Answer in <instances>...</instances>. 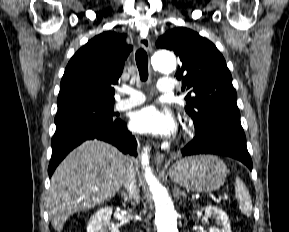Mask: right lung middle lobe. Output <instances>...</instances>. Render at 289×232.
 Returning a JSON list of instances; mask_svg holds the SVG:
<instances>
[{
  "label": "right lung middle lobe",
  "mask_w": 289,
  "mask_h": 232,
  "mask_svg": "<svg viewBox=\"0 0 289 232\" xmlns=\"http://www.w3.org/2000/svg\"><path fill=\"white\" fill-rule=\"evenodd\" d=\"M113 105L89 104L58 109L56 126L73 123L111 124L114 120Z\"/></svg>",
  "instance_id": "1"
}]
</instances>
